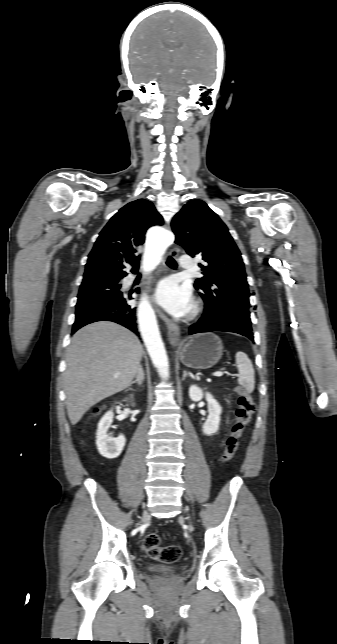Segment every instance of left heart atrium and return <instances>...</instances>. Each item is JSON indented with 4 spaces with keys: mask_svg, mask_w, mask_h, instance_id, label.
<instances>
[{
    "mask_svg": "<svg viewBox=\"0 0 337 644\" xmlns=\"http://www.w3.org/2000/svg\"><path fill=\"white\" fill-rule=\"evenodd\" d=\"M157 302L173 315L187 314L192 308V294L187 285H180L173 277L161 280L156 288Z\"/></svg>",
    "mask_w": 337,
    "mask_h": 644,
    "instance_id": "obj_1",
    "label": "left heart atrium"
}]
</instances>
